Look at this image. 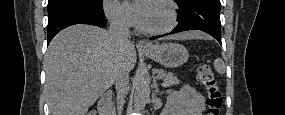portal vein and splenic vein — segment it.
Masks as SVG:
<instances>
[{"instance_id": "portal-vein-and-splenic-vein-1", "label": "portal vein and splenic vein", "mask_w": 285, "mask_h": 115, "mask_svg": "<svg viewBox=\"0 0 285 115\" xmlns=\"http://www.w3.org/2000/svg\"><path fill=\"white\" fill-rule=\"evenodd\" d=\"M157 78H162V77H161V75L158 74V75H157Z\"/></svg>"}]
</instances>
